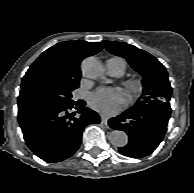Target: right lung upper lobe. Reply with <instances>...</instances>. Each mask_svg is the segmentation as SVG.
<instances>
[{
	"label": "right lung upper lobe",
	"mask_w": 194,
	"mask_h": 193,
	"mask_svg": "<svg viewBox=\"0 0 194 193\" xmlns=\"http://www.w3.org/2000/svg\"><path fill=\"white\" fill-rule=\"evenodd\" d=\"M103 48L101 42L67 41L47 49L30 66L22 79L20 95L30 90L32 82L40 76L65 77L80 80V62L87 55H94Z\"/></svg>",
	"instance_id": "1"
}]
</instances>
